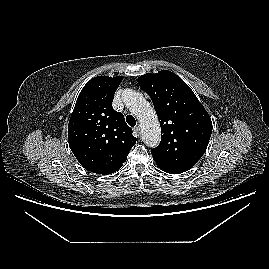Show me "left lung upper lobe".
Here are the masks:
<instances>
[{
	"instance_id": "left-lung-upper-lobe-1",
	"label": "left lung upper lobe",
	"mask_w": 269,
	"mask_h": 269,
	"mask_svg": "<svg viewBox=\"0 0 269 269\" xmlns=\"http://www.w3.org/2000/svg\"><path fill=\"white\" fill-rule=\"evenodd\" d=\"M157 113L162 139L151 150L155 161L190 169L203 156L212 133L209 114L191 88L175 73L163 70L138 78Z\"/></svg>"
}]
</instances>
